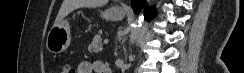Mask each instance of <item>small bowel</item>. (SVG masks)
<instances>
[{
  "mask_svg": "<svg viewBox=\"0 0 244 73\" xmlns=\"http://www.w3.org/2000/svg\"><path fill=\"white\" fill-rule=\"evenodd\" d=\"M109 68L107 65L103 64L100 61L89 62V61H80L77 65L76 73H109Z\"/></svg>",
  "mask_w": 244,
  "mask_h": 73,
  "instance_id": "small-bowel-1",
  "label": "small bowel"
}]
</instances>
